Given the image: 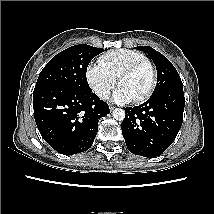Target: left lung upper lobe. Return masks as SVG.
Masks as SVG:
<instances>
[{"label": "left lung upper lobe", "instance_id": "left-lung-upper-lobe-1", "mask_svg": "<svg viewBox=\"0 0 214 214\" xmlns=\"http://www.w3.org/2000/svg\"><path fill=\"white\" fill-rule=\"evenodd\" d=\"M154 61L157 69V85L151 96H156L166 90L183 88L180 76L172 63L161 53L149 46H138Z\"/></svg>", "mask_w": 214, "mask_h": 214}]
</instances>
